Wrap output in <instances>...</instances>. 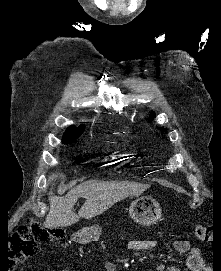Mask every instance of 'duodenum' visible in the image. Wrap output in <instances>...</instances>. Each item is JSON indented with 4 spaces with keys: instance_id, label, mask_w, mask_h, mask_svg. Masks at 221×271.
<instances>
[{
    "instance_id": "obj_1",
    "label": "duodenum",
    "mask_w": 221,
    "mask_h": 271,
    "mask_svg": "<svg viewBox=\"0 0 221 271\" xmlns=\"http://www.w3.org/2000/svg\"><path fill=\"white\" fill-rule=\"evenodd\" d=\"M78 241H79V242H84V238H83V237H80V238H78Z\"/></svg>"
}]
</instances>
